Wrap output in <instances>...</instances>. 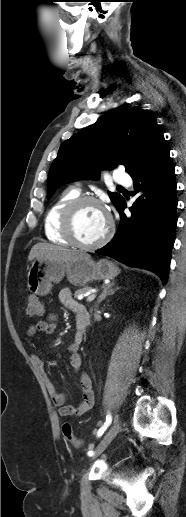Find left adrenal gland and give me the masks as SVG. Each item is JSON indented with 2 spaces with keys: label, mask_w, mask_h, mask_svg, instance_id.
Listing matches in <instances>:
<instances>
[{
  "label": "left adrenal gland",
  "mask_w": 186,
  "mask_h": 517,
  "mask_svg": "<svg viewBox=\"0 0 186 517\" xmlns=\"http://www.w3.org/2000/svg\"><path fill=\"white\" fill-rule=\"evenodd\" d=\"M115 285L114 281L112 283H110L109 285H107L106 287H104L101 295H99L98 299H97V304L96 306H98L103 300L106 299L107 296L109 295H113L117 290H119L120 288L119 287H116V288H112L113 286Z\"/></svg>",
  "instance_id": "1"
}]
</instances>
